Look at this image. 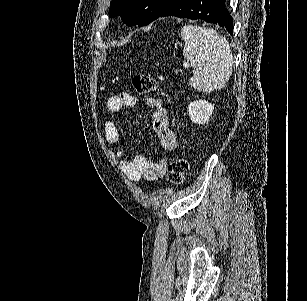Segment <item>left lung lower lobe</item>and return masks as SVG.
Returning a JSON list of instances; mask_svg holds the SVG:
<instances>
[{
  "label": "left lung lower lobe",
  "mask_w": 307,
  "mask_h": 301,
  "mask_svg": "<svg viewBox=\"0 0 307 301\" xmlns=\"http://www.w3.org/2000/svg\"><path fill=\"white\" fill-rule=\"evenodd\" d=\"M225 1L176 0L159 17L176 16L192 20L202 19L225 27L230 34H233V19L225 8Z\"/></svg>",
  "instance_id": "obj_1"
}]
</instances>
